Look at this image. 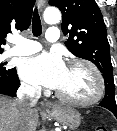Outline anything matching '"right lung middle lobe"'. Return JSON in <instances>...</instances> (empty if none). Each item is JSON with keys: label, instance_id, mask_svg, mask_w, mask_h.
<instances>
[{"label": "right lung middle lobe", "instance_id": "right-lung-middle-lobe-1", "mask_svg": "<svg viewBox=\"0 0 117 131\" xmlns=\"http://www.w3.org/2000/svg\"><path fill=\"white\" fill-rule=\"evenodd\" d=\"M0 54H2V52H0ZM5 65L6 63H0V78H7L8 76H11L15 71V68L7 69Z\"/></svg>", "mask_w": 117, "mask_h": 131}]
</instances>
